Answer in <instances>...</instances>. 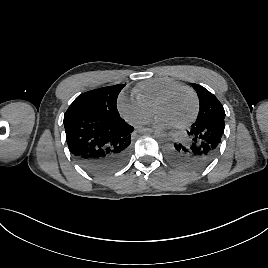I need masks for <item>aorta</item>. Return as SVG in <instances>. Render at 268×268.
<instances>
[{"label":"aorta","mask_w":268,"mask_h":268,"mask_svg":"<svg viewBox=\"0 0 268 268\" xmlns=\"http://www.w3.org/2000/svg\"><path fill=\"white\" fill-rule=\"evenodd\" d=\"M154 138L157 142L162 143L166 140L167 135L164 131L159 130L155 133Z\"/></svg>","instance_id":"762f6f07"}]
</instances>
